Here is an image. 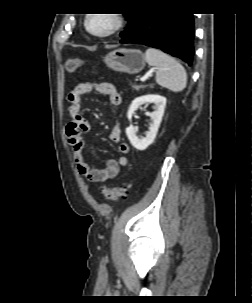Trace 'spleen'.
Here are the masks:
<instances>
[{
  "mask_svg": "<svg viewBox=\"0 0 252 303\" xmlns=\"http://www.w3.org/2000/svg\"><path fill=\"white\" fill-rule=\"evenodd\" d=\"M145 60L157 68L156 82L173 92H180L186 87L187 74L184 67L173 57L155 49L148 48Z\"/></svg>",
  "mask_w": 252,
  "mask_h": 303,
  "instance_id": "3e777b00",
  "label": "spleen"
}]
</instances>
